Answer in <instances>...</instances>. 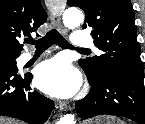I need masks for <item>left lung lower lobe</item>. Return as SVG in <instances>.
I'll return each mask as SVG.
<instances>
[{
	"instance_id": "0a47b994",
	"label": "left lung lower lobe",
	"mask_w": 145,
	"mask_h": 124,
	"mask_svg": "<svg viewBox=\"0 0 145 124\" xmlns=\"http://www.w3.org/2000/svg\"><path fill=\"white\" fill-rule=\"evenodd\" d=\"M87 78L91 90L85 98L75 103L81 119L108 114L145 124V88L142 76L116 70L97 80L88 75Z\"/></svg>"
}]
</instances>
